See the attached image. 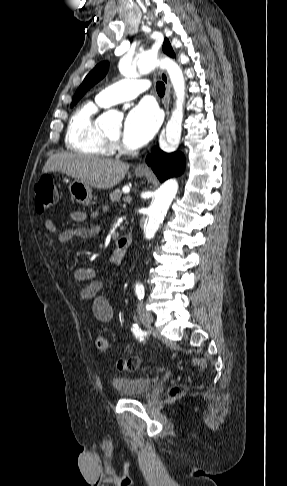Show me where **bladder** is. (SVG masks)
Segmentation results:
<instances>
[{
    "instance_id": "31cf9c89",
    "label": "bladder",
    "mask_w": 287,
    "mask_h": 486,
    "mask_svg": "<svg viewBox=\"0 0 287 486\" xmlns=\"http://www.w3.org/2000/svg\"><path fill=\"white\" fill-rule=\"evenodd\" d=\"M114 389L124 397H137L146 394L152 385L148 377H116L112 380Z\"/></svg>"
}]
</instances>
